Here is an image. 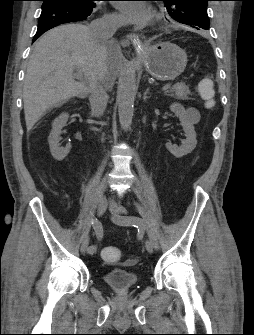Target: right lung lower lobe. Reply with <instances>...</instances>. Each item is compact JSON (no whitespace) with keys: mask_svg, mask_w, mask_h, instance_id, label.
Here are the masks:
<instances>
[{"mask_svg":"<svg viewBox=\"0 0 254 335\" xmlns=\"http://www.w3.org/2000/svg\"><path fill=\"white\" fill-rule=\"evenodd\" d=\"M93 8L95 7L74 0L45 1L42 4V12L39 17L38 29L34 40L57 25L87 19Z\"/></svg>","mask_w":254,"mask_h":335,"instance_id":"1","label":"right lung lower lobe"}]
</instances>
